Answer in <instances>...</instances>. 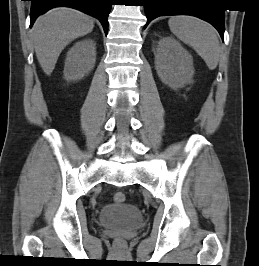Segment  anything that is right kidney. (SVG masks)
<instances>
[{
  "instance_id": "ca27d5eb",
  "label": "right kidney",
  "mask_w": 259,
  "mask_h": 266,
  "mask_svg": "<svg viewBox=\"0 0 259 266\" xmlns=\"http://www.w3.org/2000/svg\"><path fill=\"white\" fill-rule=\"evenodd\" d=\"M96 44L92 39H84L73 45L65 60L64 78L67 81L82 79L95 65Z\"/></svg>"
}]
</instances>
